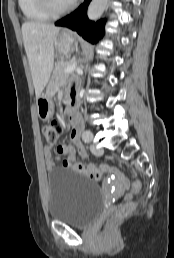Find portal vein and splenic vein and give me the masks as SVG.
Wrapping results in <instances>:
<instances>
[{"instance_id": "obj_1", "label": "portal vein and splenic vein", "mask_w": 174, "mask_h": 258, "mask_svg": "<svg viewBox=\"0 0 174 258\" xmlns=\"http://www.w3.org/2000/svg\"><path fill=\"white\" fill-rule=\"evenodd\" d=\"M75 68H76V64L68 65L65 68L64 72L65 73H71V72H73L75 70Z\"/></svg>"}]
</instances>
